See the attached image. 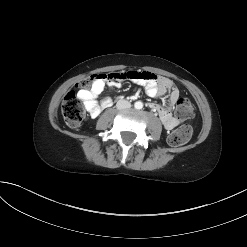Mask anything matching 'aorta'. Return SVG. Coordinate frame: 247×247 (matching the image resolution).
<instances>
[{"label": "aorta", "instance_id": "aorta-1", "mask_svg": "<svg viewBox=\"0 0 247 247\" xmlns=\"http://www.w3.org/2000/svg\"><path fill=\"white\" fill-rule=\"evenodd\" d=\"M134 106L136 109H142L143 103L141 101H137L135 102Z\"/></svg>", "mask_w": 247, "mask_h": 247}]
</instances>
